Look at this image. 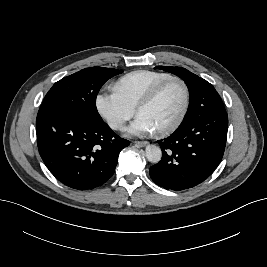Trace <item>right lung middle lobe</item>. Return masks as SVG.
<instances>
[{
	"mask_svg": "<svg viewBox=\"0 0 267 267\" xmlns=\"http://www.w3.org/2000/svg\"><path fill=\"white\" fill-rule=\"evenodd\" d=\"M120 70L91 67L56 82L46 94L43 103L70 110L91 122L103 121L96 108V97L103 84Z\"/></svg>",
	"mask_w": 267,
	"mask_h": 267,
	"instance_id": "right-lung-middle-lobe-1",
	"label": "right lung middle lobe"
}]
</instances>
